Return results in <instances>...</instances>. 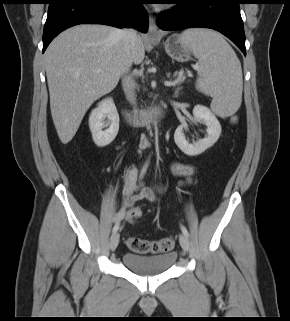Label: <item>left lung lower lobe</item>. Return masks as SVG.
Listing matches in <instances>:
<instances>
[{
	"label": "left lung lower lobe",
	"instance_id": "left-lung-lower-lobe-1",
	"mask_svg": "<svg viewBox=\"0 0 290 321\" xmlns=\"http://www.w3.org/2000/svg\"><path fill=\"white\" fill-rule=\"evenodd\" d=\"M173 3L179 4V7L157 18V24L162 30L211 28L227 36L246 55L244 26L239 8L241 0H174Z\"/></svg>",
	"mask_w": 290,
	"mask_h": 321
}]
</instances>
